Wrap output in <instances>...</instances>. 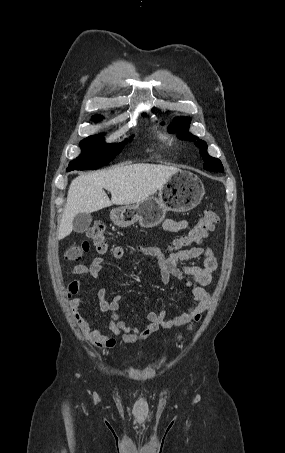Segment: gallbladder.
Masks as SVG:
<instances>
[{"mask_svg": "<svg viewBox=\"0 0 285 453\" xmlns=\"http://www.w3.org/2000/svg\"><path fill=\"white\" fill-rule=\"evenodd\" d=\"M92 221V217L89 213H79L73 219V230L76 233L85 232Z\"/></svg>", "mask_w": 285, "mask_h": 453, "instance_id": "obj_1", "label": "gallbladder"}]
</instances>
